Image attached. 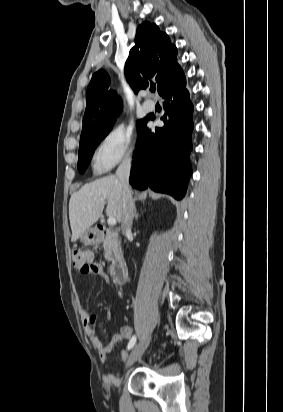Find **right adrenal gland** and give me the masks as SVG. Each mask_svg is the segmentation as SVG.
<instances>
[{"label": "right adrenal gland", "mask_w": 283, "mask_h": 412, "mask_svg": "<svg viewBox=\"0 0 283 412\" xmlns=\"http://www.w3.org/2000/svg\"><path fill=\"white\" fill-rule=\"evenodd\" d=\"M139 214L137 213V210H135V219L138 220Z\"/></svg>", "instance_id": "2a0ac1e0"}]
</instances>
